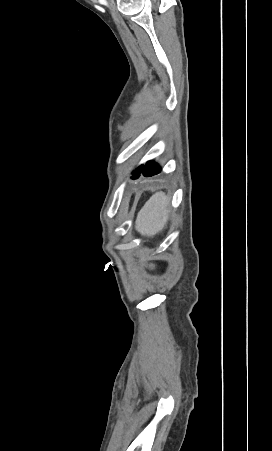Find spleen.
<instances>
[{
  "mask_svg": "<svg viewBox=\"0 0 272 451\" xmlns=\"http://www.w3.org/2000/svg\"><path fill=\"white\" fill-rule=\"evenodd\" d=\"M169 200L164 192H156L140 210L135 229L142 235H155L168 220Z\"/></svg>",
  "mask_w": 272,
  "mask_h": 451,
  "instance_id": "spleen-1",
  "label": "spleen"
}]
</instances>
